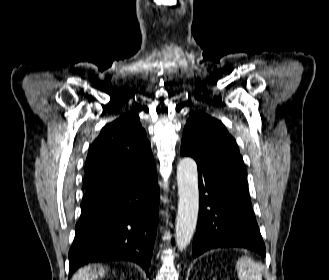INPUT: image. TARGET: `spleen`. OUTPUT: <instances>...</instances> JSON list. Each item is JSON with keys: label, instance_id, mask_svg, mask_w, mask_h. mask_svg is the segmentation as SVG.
I'll use <instances>...</instances> for the list:
<instances>
[{"label": "spleen", "instance_id": "3e777b00", "mask_svg": "<svg viewBox=\"0 0 329 280\" xmlns=\"http://www.w3.org/2000/svg\"><path fill=\"white\" fill-rule=\"evenodd\" d=\"M236 269L240 280H262L260 266L250 257L239 258Z\"/></svg>", "mask_w": 329, "mask_h": 280}]
</instances>
